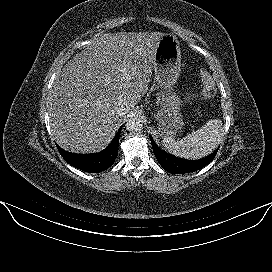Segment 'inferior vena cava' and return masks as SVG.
I'll return each instance as SVG.
<instances>
[{"instance_id": "602c4592", "label": "inferior vena cava", "mask_w": 272, "mask_h": 272, "mask_svg": "<svg viewBox=\"0 0 272 272\" xmlns=\"http://www.w3.org/2000/svg\"><path fill=\"white\" fill-rule=\"evenodd\" d=\"M114 110L117 115L122 116L125 115L129 112L130 108L123 103H118L115 107Z\"/></svg>"}]
</instances>
